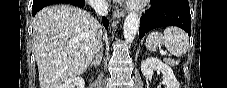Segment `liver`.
I'll return each mask as SVG.
<instances>
[{
    "label": "liver",
    "mask_w": 227,
    "mask_h": 88,
    "mask_svg": "<svg viewBox=\"0 0 227 88\" xmlns=\"http://www.w3.org/2000/svg\"><path fill=\"white\" fill-rule=\"evenodd\" d=\"M32 26L40 88H58L84 73L102 38L99 22L72 5L41 9Z\"/></svg>",
    "instance_id": "liver-1"
}]
</instances>
